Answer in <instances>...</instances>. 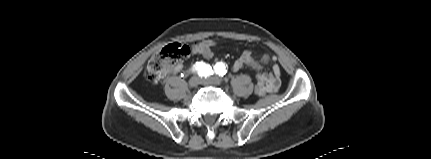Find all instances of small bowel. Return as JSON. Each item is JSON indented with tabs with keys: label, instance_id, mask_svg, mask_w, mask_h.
Instances as JSON below:
<instances>
[{
	"label": "small bowel",
	"instance_id": "small-bowel-1",
	"mask_svg": "<svg viewBox=\"0 0 431 159\" xmlns=\"http://www.w3.org/2000/svg\"><path fill=\"white\" fill-rule=\"evenodd\" d=\"M216 45L213 40H205L199 43L192 45L191 53L195 54V49L199 46H207L214 48ZM202 56L206 59H210L212 56ZM271 58L268 55H264L261 61H256L252 57V53L250 50H245L240 57L233 63L232 70L237 72L242 70L245 66H251L259 72L256 74L257 83L260 85L259 88V96H263L269 93L276 92L280 87V76L281 69L277 64H274L270 70L260 71L262 69V64L267 63ZM182 64L177 63L173 65L169 72L177 73L182 69Z\"/></svg>",
	"mask_w": 431,
	"mask_h": 159
}]
</instances>
